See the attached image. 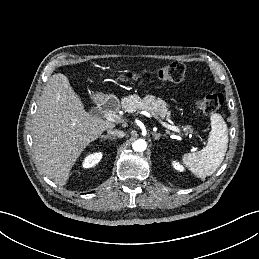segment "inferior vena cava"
Listing matches in <instances>:
<instances>
[{
	"mask_svg": "<svg viewBox=\"0 0 259 259\" xmlns=\"http://www.w3.org/2000/svg\"><path fill=\"white\" fill-rule=\"evenodd\" d=\"M107 132H108V134H110L114 137L122 138L125 136V132H123L121 130H117V129H108Z\"/></svg>",
	"mask_w": 259,
	"mask_h": 259,
	"instance_id": "inferior-vena-cava-1",
	"label": "inferior vena cava"
}]
</instances>
